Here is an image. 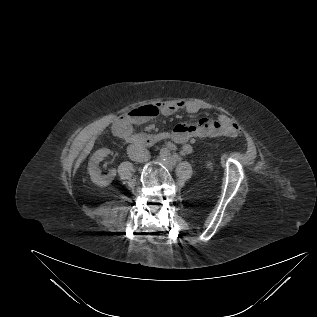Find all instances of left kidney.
I'll use <instances>...</instances> for the list:
<instances>
[{
	"mask_svg": "<svg viewBox=\"0 0 317 317\" xmlns=\"http://www.w3.org/2000/svg\"><path fill=\"white\" fill-rule=\"evenodd\" d=\"M211 165H212L211 162H207V163H206V166H207V167H211Z\"/></svg>",
	"mask_w": 317,
	"mask_h": 317,
	"instance_id": "left-kidney-1",
	"label": "left kidney"
}]
</instances>
